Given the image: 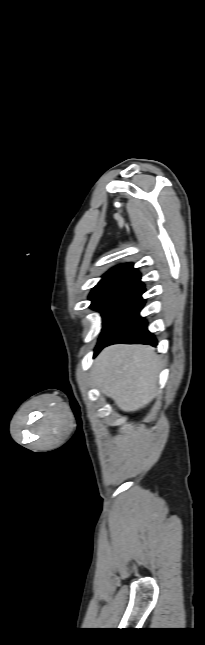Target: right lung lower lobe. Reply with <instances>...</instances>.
<instances>
[{
	"label": "right lung lower lobe",
	"mask_w": 205,
	"mask_h": 645,
	"mask_svg": "<svg viewBox=\"0 0 205 645\" xmlns=\"http://www.w3.org/2000/svg\"><path fill=\"white\" fill-rule=\"evenodd\" d=\"M116 343L127 344H149L157 345V340L147 329V321L140 317L135 316L129 323L123 326L119 331L112 335L100 348L95 351L97 354L102 348Z\"/></svg>",
	"instance_id": "right-lung-lower-lobe-1"
}]
</instances>
